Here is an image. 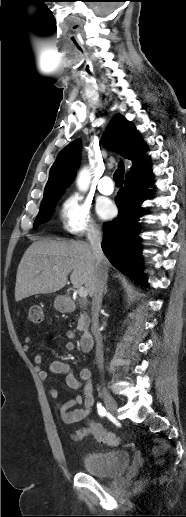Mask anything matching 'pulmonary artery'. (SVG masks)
<instances>
[{
  "instance_id": "obj_1",
  "label": "pulmonary artery",
  "mask_w": 186,
  "mask_h": 517,
  "mask_svg": "<svg viewBox=\"0 0 186 517\" xmlns=\"http://www.w3.org/2000/svg\"><path fill=\"white\" fill-rule=\"evenodd\" d=\"M98 190L104 195H111L114 191V186L110 176H103L98 183Z\"/></svg>"
}]
</instances>
